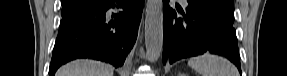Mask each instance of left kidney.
Listing matches in <instances>:
<instances>
[{
    "label": "left kidney",
    "instance_id": "1",
    "mask_svg": "<svg viewBox=\"0 0 287 76\" xmlns=\"http://www.w3.org/2000/svg\"><path fill=\"white\" fill-rule=\"evenodd\" d=\"M179 76H186V75H185V74H183V73H180V74H179Z\"/></svg>",
    "mask_w": 287,
    "mask_h": 76
}]
</instances>
